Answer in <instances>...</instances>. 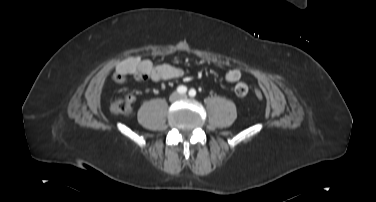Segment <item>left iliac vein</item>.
I'll return each instance as SVG.
<instances>
[{
	"instance_id": "obj_1",
	"label": "left iliac vein",
	"mask_w": 376,
	"mask_h": 202,
	"mask_svg": "<svg viewBox=\"0 0 376 202\" xmlns=\"http://www.w3.org/2000/svg\"><path fill=\"white\" fill-rule=\"evenodd\" d=\"M181 97H182V98H184V97H185V95H182Z\"/></svg>"
}]
</instances>
